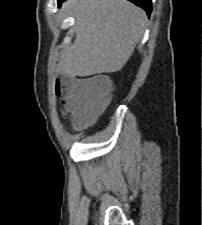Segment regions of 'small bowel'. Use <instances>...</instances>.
<instances>
[{
	"label": "small bowel",
	"mask_w": 202,
	"mask_h": 225,
	"mask_svg": "<svg viewBox=\"0 0 202 225\" xmlns=\"http://www.w3.org/2000/svg\"><path fill=\"white\" fill-rule=\"evenodd\" d=\"M96 78L101 79L103 82L112 86L114 85V81L106 75H99ZM67 107L71 112V121L75 126H79L90 114L85 97L79 94H74L67 102Z\"/></svg>",
	"instance_id": "obj_1"
}]
</instances>
